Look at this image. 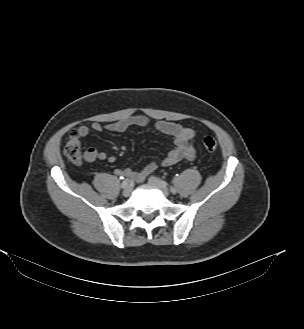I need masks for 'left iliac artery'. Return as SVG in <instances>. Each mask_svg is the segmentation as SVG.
I'll list each match as a JSON object with an SVG mask.
<instances>
[{"label": "left iliac artery", "mask_w": 304, "mask_h": 329, "mask_svg": "<svg viewBox=\"0 0 304 329\" xmlns=\"http://www.w3.org/2000/svg\"><path fill=\"white\" fill-rule=\"evenodd\" d=\"M170 189H171V192H172L173 194L176 193V189H175L174 187L171 186Z\"/></svg>", "instance_id": "left-iliac-artery-1"}]
</instances>
